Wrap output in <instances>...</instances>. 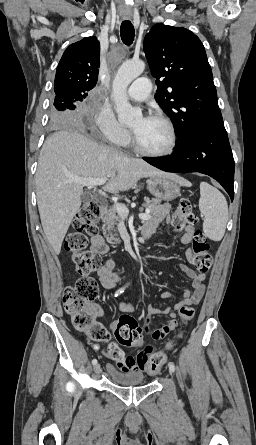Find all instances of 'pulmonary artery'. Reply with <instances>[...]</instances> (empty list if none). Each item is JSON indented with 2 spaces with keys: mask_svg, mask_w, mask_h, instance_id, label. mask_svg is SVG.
Instances as JSON below:
<instances>
[{
  "mask_svg": "<svg viewBox=\"0 0 256 445\" xmlns=\"http://www.w3.org/2000/svg\"><path fill=\"white\" fill-rule=\"evenodd\" d=\"M151 87L152 85L148 78H138L129 86L127 96L134 101H144L148 98Z\"/></svg>",
  "mask_w": 256,
  "mask_h": 445,
  "instance_id": "1",
  "label": "pulmonary artery"
}]
</instances>
